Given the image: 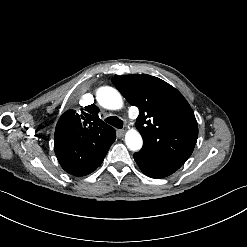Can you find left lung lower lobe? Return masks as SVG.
Here are the masks:
<instances>
[{"label":"left lung lower lobe","mask_w":247,"mask_h":247,"mask_svg":"<svg viewBox=\"0 0 247 247\" xmlns=\"http://www.w3.org/2000/svg\"><path fill=\"white\" fill-rule=\"evenodd\" d=\"M133 157L145 175L157 179L169 176L184 164L146 146H143Z\"/></svg>","instance_id":"left-lung-lower-lobe-1"}]
</instances>
